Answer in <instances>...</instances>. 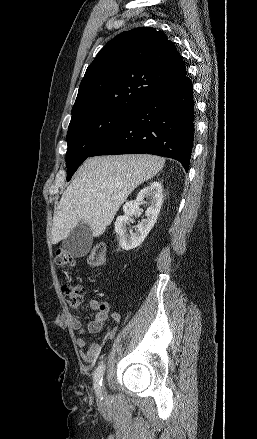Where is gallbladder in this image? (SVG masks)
Listing matches in <instances>:
<instances>
[{
	"label": "gallbladder",
	"instance_id": "obj_1",
	"mask_svg": "<svg viewBox=\"0 0 257 439\" xmlns=\"http://www.w3.org/2000/svg\"><path fill=\"white\" fill-rule=\"evenodd\" d=\"M92 240L90 226L79 224L62 241V248L75 257H83L89 252Z\"/></svg>",
	"mask_w": 257,
	"mask_h": 439
}]
</instances>
